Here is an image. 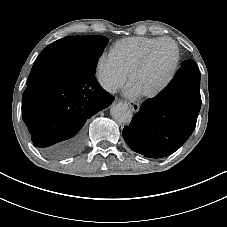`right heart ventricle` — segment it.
I'll return each instance as SVG.
<instances>
[{"label":"right heart ventricle","instance_id":"1","mask_svg":"<svg viewBox=\"0 0 227 227\" xmlns=\"http://www.w3.org/2000/svg\"><path fill=\"white\" fill-rule=\"evenodd\" d=\"M158 37L132 36L118 40L110 50V57L129 74L135 63L141 58L146 48Z\"/></svg>","mask_w":227,"mask_h":227}]
</instances>
